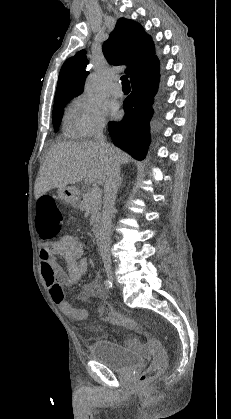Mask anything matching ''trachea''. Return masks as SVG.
Returning <instances> with one entry per match:
<instances>
[{
  "label": "trachea",
  "mask_w": 231,
  "mask_h": 419,
  "mask_svg": "<svg viewBox=\"0 0 231 419\" xmlns=\"http://www.w3.org/2000/svg\"><path fill=\"white\" fill-rule=\"evenodd\" d=\"M121 81H122V86L124 88H130V84H129V81H128V75H123L121 77Z\"/></svg>",
  "instance_id": "1"
}]
</instances>
